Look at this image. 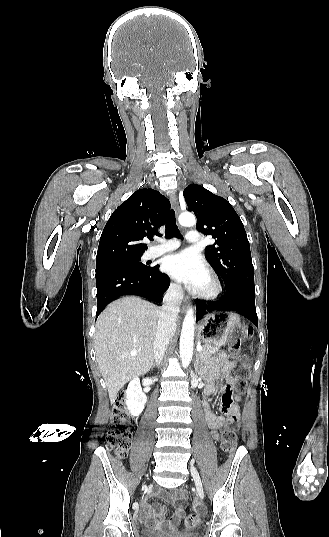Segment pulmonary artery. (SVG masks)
<instances>
[{
	"label": "pulmonary artery",
	"mask_w": 329,
	"mask_h": 537,
	"mask_svg": "<svg viewBox=\"0 0 329 537\" xmlns=\"http://www.w3.org/2000/svg\"><path fill=\"white\" fill-rule=\"evenodd\" d=\"M186 239L189 244L197 245L201 242L200 234L197 231H189L186 234ZM179 242L177 240H168L162 244L152 248L149 252L150 257H157L164 253L173 251L179 247Z\"/></svg>",
	"instance_id": "1"
}]
</instances>
